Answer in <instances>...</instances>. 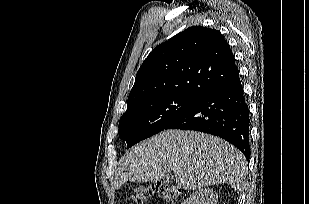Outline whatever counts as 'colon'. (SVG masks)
I'll return each instance as SVG.
<instances>
[{"label": "colon", "instance_id": "5ec220e1", "mask_svg": "<svg viewBox=\"0 0 309 204\" xmlns=\"http://www.w3.org/2000/svg\"><path fill=\"white\" fill-rule=\"evenodd\" d=\"M154 193L158 194L166 204H175L180 191L177 187L164 183H156L150 186H140L136 188L131 199L136 204H142Z\"/></svg>", "mask_w": 309, "mask_h": 204}]
</instances>
